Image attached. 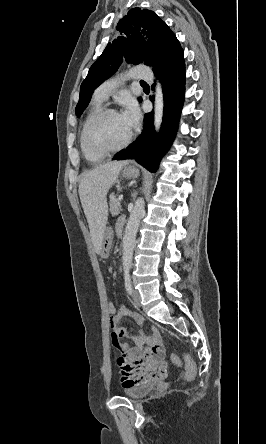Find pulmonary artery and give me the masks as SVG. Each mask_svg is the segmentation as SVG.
Returning a JSON list of instances; mask_svg holds the SVG:
<instances>
[{"label":"pulmonary artery","mask_w":266,"mask_h":444,"mask_svg":"<svg viewBox=\"0 0 266 444\" xmlns=\"http://www.w3.org/2000/svg\"><path fill=\"white\" fill-rule=\"evenodd\" d=\"M152 73L148 66H135L121 73L116 77H112L101 84L95 91V98L104 101L110 93L114 91L125 79H144L151 80Z\"/></svg>","instance_id":"pulmonary-artery-1"}]
</instances>
